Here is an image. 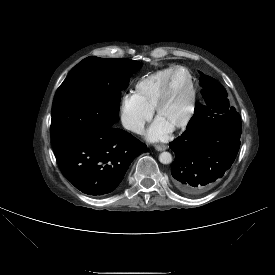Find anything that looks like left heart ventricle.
I'll use <instances>...</instances> for the list:
<instances>
[{
  "label": "left heart ventricle",
  "mask_w": 275,
  "mask_h": 275,
  "mask_svg": "<svg viewBox=\"0 0 275 275\" xmlns=\"http://www.w3.org/2000/svg\"><path fill=\"white\" fill-rule=\"evenodd\" d=\"M190 97V87L187 74L178 70L173 77L169 97L162 108L159 119L173 126L178 123L186 114Z\"/></svg>",
  "instance_id": "1"
}]
</instances>
